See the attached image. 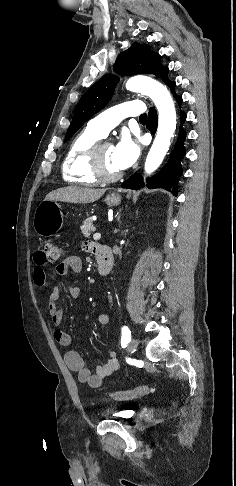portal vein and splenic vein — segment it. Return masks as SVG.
I'll return each mask as SVG.
<instances>
[{"mask_svg": "<svg viewBox=\"0 0 236 486\" xmlns=\"http://www.w3.org/2000/svg\"><path fill=\"white\" fill-rule=\"evenodd\" d=\"M100 238H101V233H95V234L93 235V239H94V240H99Z\"/></svg>", "mask_w": 236, "mask_h": 486, "instance_id": "18ae733b", "label": "portal vein and splenic vein"}]
</instances>
